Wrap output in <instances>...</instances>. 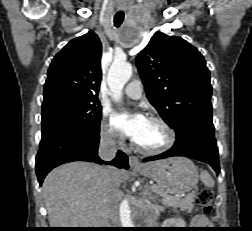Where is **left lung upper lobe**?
Wrapping results in <instances>:
<instances>
[{"instance_id":"obj_1","label":"left lung upper lobe","mask_w":252,"mask_h":231,"mask_svg":"<svg viewBox=\"0 0 252 231\" xmlns=\"http://www.w3.org/2000/svg\"><path fill=\"white\" fill-rule=\"evenodd\" d=\"M136 66L148 99L172 128L190 116H212L205 59L181 37L155 33L138 54Z\"/></svg>"}]
</instances>
